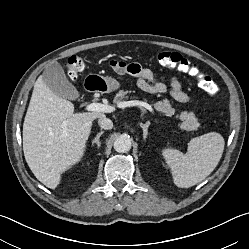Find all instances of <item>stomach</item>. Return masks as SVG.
I'll use <instances>...</instances> for the list:
<instances>
[{"label": "stomach", "mask_w": 249, "mask_h": 249, "mask_svg": "<svg viewBox=\"0 0 249 249\" xmlns=\"http://www.w3.org/2000/svg\"><path fill=\"white\" fill-rule=\"evenodd\" d=\"M99 80L100 83V91L103 93H110L120 88V83L109 76H94Z\"/></svg>", "instance_id": "0dacf381"}]
</instances>
